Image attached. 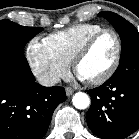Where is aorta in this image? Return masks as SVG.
<instances>
[{
    "instance_id": "aorta-1",
    "label": "aorta",
    "mask_w": 139,
    "mask_h": 139,
    "mask_svg": "<svg viewBox=\"0 0 139 139\" xmlns=\"http://www.w3.org/2000/svg\"><path fill=\"white\" fill-rule=\"evenodd\" d=\"M73 105L80 110L86 109L90 105V98L86 93L77 92L72 98Z\"/></svg>"
}]
</instances>
